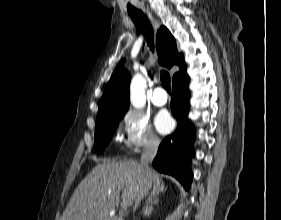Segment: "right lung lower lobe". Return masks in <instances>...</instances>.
I'll list each match as a JSON object with an SVG mask.
<instances>
[{"instance_id": "right-lung-lower-lobe-1", "label": "right lung lower lobe", "mask_w": 281, "mask_h": 220, "mask_svg": "<svg viewBox=\"0 0 281 220\" xmlns=\"http://www.w3.org/2000/svg\"><path fill=\"white\" fill-rule=\"evenodd\" d=\"M188 83L189 79L173 83L171 110L177 120V129L162 141L153 161L155 169L177 178L186 190H189L193 178L190 164L194 155L195 134L193 126L188 120L190 107Z\"/></svg>"}]
</instances>
